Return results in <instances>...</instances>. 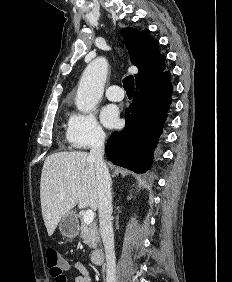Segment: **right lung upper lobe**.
Masks as SVG:
<instances>
[{"instance_id":"cb5924a9","label":"right lung upper lobe","mask_w":232,"mask_h":282,"mask_svg":"<svg viewBox=\"0 0 232 282\" xmlns=\"http://www.w3.org/2000/svg\"><path fill=\"white\" fill-rule=\"evenodd\" d=\"M123 38L130 60L139 70L136 81L165 71V56L159 52V44L149 36L148 29L139 32L123 28Z\"/></svg>"}]
</instances>
